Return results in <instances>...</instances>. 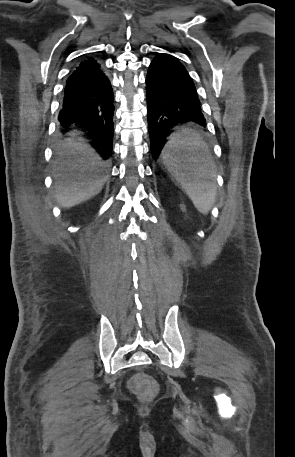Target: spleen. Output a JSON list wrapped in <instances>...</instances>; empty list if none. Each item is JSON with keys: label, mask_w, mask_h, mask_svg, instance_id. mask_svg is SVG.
<instances>
[{"label": "spleen", "mask_w": 295, "mask_h": 457, "mask_svg": "<svg viewBox=\"0 0 295 457\" xmlns=\"http://www.w3.org/2000/svg\"><path fill=\"white\" fill-rule=\"evenodd\" d=\"M206 145L193 129L181 128L175 132L162 151V158L170 172L181 183L194 206L207 214L216 199L214 175L208 171L209 162L201 158L200 163L192 160L190 154L205 151Z\"/></svg>", "instance_id": "3e777b00"}]
</instances>
